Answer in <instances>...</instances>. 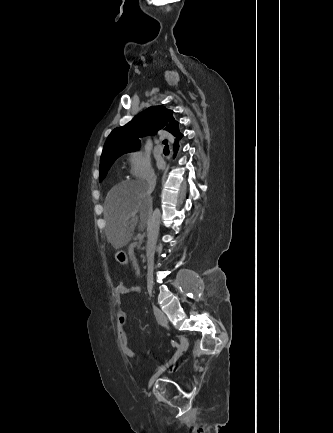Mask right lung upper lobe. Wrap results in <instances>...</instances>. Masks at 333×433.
Returning a JSON list of instances; mask_svg holds the SVG:
<instances>
[{
    "label": "right lung upper lobe",
    "instance_id": "1",
    "mask_svg": "<svg viewBox=\"0 0 333 433\" xmlns=\"http://www.w3.org/2000/svg\"><path fill=\"white\" fill-rule=\"evenodd\" d=\"M162 128L175 137L174 146H177L183 134L179 131V123L174 119L173 111L164 106L149 107L126 125L111 132L103 147L101 160L138 150L140 137L154 135Z\"/></svg>",
    "mask_w": 333,
    "mask_h": 433
}]
</instances>
